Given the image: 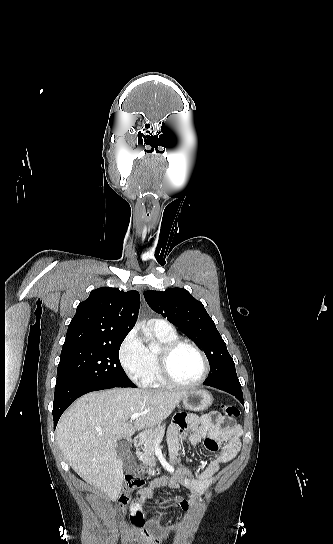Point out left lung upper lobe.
<instances>
[{
    "mask_svg": "<svg viewBox=\"0 0 333 544\" xmlns=\"http://www.w3.org/2000/svg\"><path fill=\"white\" fill-rule=\"evenodd\" d=\"M148 305L191 337L205 352L210 373L205 384L232 383L240 385L235 364L214 321L204 305L183 288L144 293Z\"/></svg>",
    "mask_w": 333,
    "mask_h": 544,
    "instance_id": "5c2ea615",
    "label": "left lung upper lobe"
}]
</instances>
